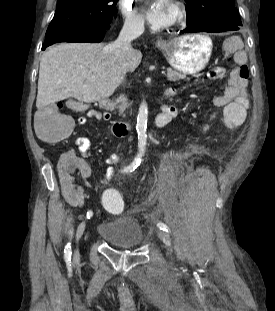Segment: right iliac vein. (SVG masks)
I'll list each match as a JSON object with an SVG mask.
<instances>
[{"label": "right iliac vein", "instance_id": "right-iliac-vein-1", "mask_svg": "<svg viewBox=\"0 0 275 311\" xmlns=\"http://www.w3.org/2000/svg\"><path fill=\"white\" fill-rule=\"evenodd\" d=\"M85 226H86V221H83L78 226L77 231H76V241H79V239L81 238V236L85 230ZM78 257H79V251L76 249L74 252V259H77Z\"/></svg>", "mask_w": 275, "mask_h": 311}]
</instances>
